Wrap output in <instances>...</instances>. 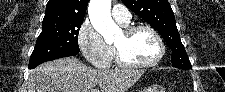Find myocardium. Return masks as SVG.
Returning <instances> with one entry per match:
<instances>
[{
	"label": "myocardium",
	"mask_w": 225,
	"mask_h": 92,
	"mask_svg": "<svg viewBox=\"0 0 225 92\" xmlns=\"http://www.w3.org/2000/svg\"><path fill=\"white\" fill-rule=\"evenodd\" d=\"M139 30H147L154 36L155 40L157 41L158 47H159V52H158L157 56L155 57V59H153L152 61L147 62V63H137V62L128 60L125 57L122 50L118 46L114 45L117 63L124 68H128V69L150 68V67L157 65L163 59V57L165 55L164 41H163L161 35L158 33V31L155 28H153L152 26L143 24V23L133 24V25L127 26L123 32L126 36L129 37Z\"/></svg>",
	"instance_id": "f54148a6"
}]
</instances>
